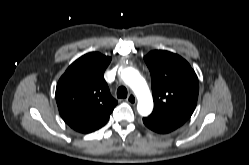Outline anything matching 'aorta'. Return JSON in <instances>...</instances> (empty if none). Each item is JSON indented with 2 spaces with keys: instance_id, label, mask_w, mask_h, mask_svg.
<instances>
[{
  "instance_id": "762f6f07",
  "label": "aorta",
  "mask_w": 249,
  "mask_h": 165,
  "mask_svg": "<svg viewBox=\"0 0 249 165\" xmlns=\"http://www.w3.org/2000/svg\"><path fill=\"white\" fill-rule=\"evenodd\" d=\"M121 77L138 98V113L142 116H148L153 110V99L145 79L133 68L123 70Z\"/></svg>"
}]
</instances>
